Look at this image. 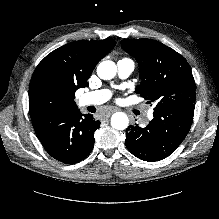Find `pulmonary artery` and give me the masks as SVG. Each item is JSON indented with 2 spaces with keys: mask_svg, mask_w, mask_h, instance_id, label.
I'll return each mask as SVG.
<instances>
[{
  "mask_svg": "<svg viewBox=\"0 0 219 219\" xmlns=\"http://www.w3.org/2000/svg\"><path fill=\"white\" fill-rule=\"evenodd\" d=\"M134 62L131 59L124 58L117 62L118 74L121 78H127L134 70ZM111 96L108 90H97L84 93L80 98L81 106L100 105L105 103ZM152 111L146 114L150 118Z\"/></svg>",
  "mask_w": 219,
  "mask_h": 219,
  "instance_id": "1",
  "label": "pulmonary artery"
}]
</instances>
